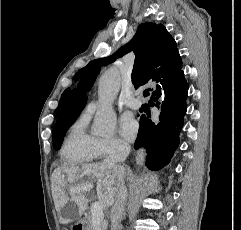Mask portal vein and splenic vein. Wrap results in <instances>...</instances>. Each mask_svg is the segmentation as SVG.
<instances>
[{
	"mask_svg": "<svg viewBox=\"0 0 241 230\" xmlns=\"http://www.w3.org/2000/svg\"><path fill=\"white\" fill-rule=\"evenodd\" d=\"M86 190L88 188H85ZM109 204L108 201L106 200H100L98 202H95L92 207H91V216H92V222L94 225L96 226H100L103 218H104V214H103V208Z\"/></svg>",
	"mask_w": 241,
	"mask_h": 230,
	"instance_id": "obj_1",
	"label": "portal vein and splenic vein"
}]
</instances>
